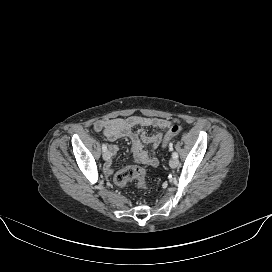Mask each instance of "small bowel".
Wrapping results in <instances>:
<instances>
[{
    "label": "small bowel",
    "instance_id": "small-bowel-1",
    "mask_svg": "<svg viewBox=\"0 0 272 272\" xmlns=\"http://www.w3.org/2000/svg\"><path fill=\"white\" fill-rule=\"evenodd\" d=\"M173 125V120L168 118H148L144 116H130L127 118H114L100 120L94 124V130L101 132L111 142L121 138H128L131 141V152L134 160L148 166H156L158 159L153 150L156 149L162 141L163 132L168 131ZM138 127L137 131L133 128ZM154 127L158 131L153 135H147L145 128ZM150 147L151 150H148ZM111 154L114 156L119 151L118 146L110 147ZM106 172L112 173L110 165L106 166Z\"/></svg>",
    "mask_w": 272,
    "mask_h": 272
}]
</instances>
